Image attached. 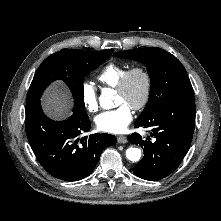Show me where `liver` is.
Listing matches in <instances>:
<instances>
[{"mask_svg": "<svg viewBox=\"0 0 221 221\" xmlns=\"http://www.w3.org/2000/svg\"><path fill=\"white\" fill-rule=\"evenodd\" d=\"M70 97L61 84L49 87L43 98L42 106L45 113L53 119H63L70 114Z\"/></svg>", "mask_w": 221, "mask_h": 221, "instance_id": "6515ba94", "label": "liver"}]
</instances>
